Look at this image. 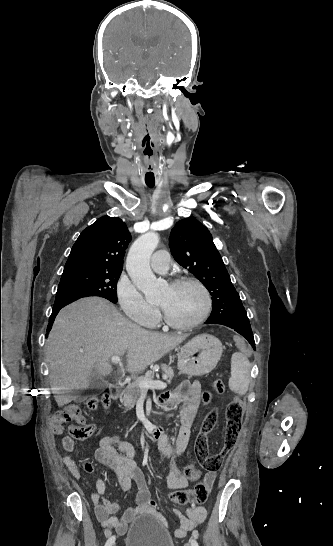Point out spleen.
<instances>
[{
    "mask_svg": "<svg viewBox=\"0 0 333 546\" xmlns=\"http://www.w3.org/2000/svg\"><path fill=\"white\" fill-rule=\"evenodd\" d=\"M251 366L248 358L240 352L231 357V376L229 378L230 389L240 395L248 392L250 384Z\"/></svg>",
    "mask_w": 333,
    "mask_h": 546,
    "instance_id": "3e777b00",
    "label": "spleen"
}]
</instances>
